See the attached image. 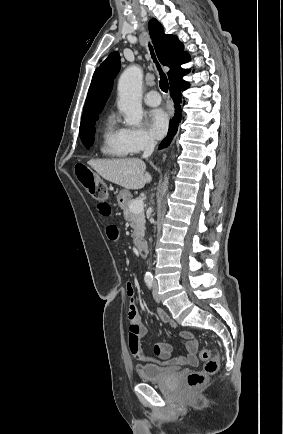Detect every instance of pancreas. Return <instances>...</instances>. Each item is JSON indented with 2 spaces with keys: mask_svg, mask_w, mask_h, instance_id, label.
<instances>
[{
  "mask_svg": "<svg viewBox=\"0 0 283 434\" xmlns=\"http://www.w3.org/2000/svg\"><path fill=\"white\" fill-rule=\"evenodd\" d=\"M134 199H131L130 202L122 207L124 217L126 220L130 221L131 227L134 229L133 231V242L137 245L138 242L143 238L145 231V215L144 212L134 213L130 211V204L133 203Z\"/></svg>",
  "mask_w": 283,
  "mask_h": 434,
  "instance_id": "obj_1",
  "label": "pancreas"
}]
</instances>
